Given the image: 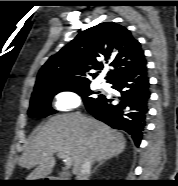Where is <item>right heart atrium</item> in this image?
I'll return each mask as SVG.
<instances>
[{"label": "right heart atrium", "mask_w": 178, "mask_h": 186, "mask_svg": "<svg viewBox=\"0 0 178 186\" xmlns=\"http://www.w3.org/2000/svg\"><path fill=\"white\" fill-rule=\"evenodd\" d=\"M81 96L75 90H62L55 95L54 106L57 112L66 113L81 104Z\"/></svg>", "instance_id": "obj_1"}]
</instances>
